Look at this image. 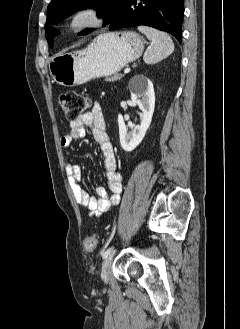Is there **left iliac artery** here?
Listing matches in <instances>:
<instances>
[{
  "instance_id": "obj_1",
  "label": "left iliac artery",
  "mask_w": 240,
  "mask_h": 329,
  "mask_svg": "<svg viewBox=\"0 0 240 329\" xmlns=\"http://www.w3.org/2000/svg\"><path fill=\"white\" fill-rule=\"evenodd\" d=\"M113 251H114V247H110V248H108V249L104 252V254H103V258L108 257V256L111 254V252H113Z\"/></svg>"
}]
</instances>
